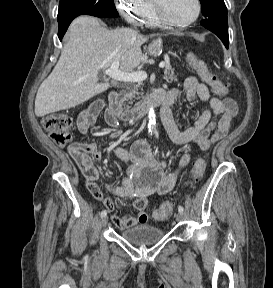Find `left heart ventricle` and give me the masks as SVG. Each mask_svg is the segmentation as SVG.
<instances>
[{
  "mask_svg": "<svg viewBox=\"0 0 273 288\" xmlns=\"http://www.w3.org/2000/svg\"><path fill=\"white\" fill-rule=\"evenodd\" d=\"M164 14L177 22L187 21L196 12L195 0H155Z\"/></svg>",
  "mask_w": 273,
  "mask_h": 288,
  "instance_id": "b2bd125f",
  "label": "left heart ventricle"
}]
</instances>
